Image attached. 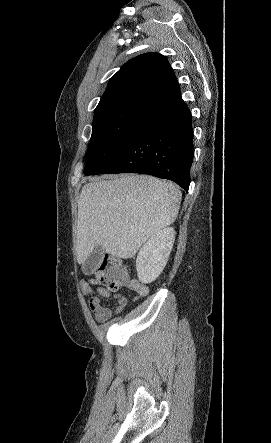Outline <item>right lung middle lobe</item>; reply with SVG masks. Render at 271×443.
Wrapping results in <instances>:
<instances>
[{"label":"right lung middle lobe","mask_w":271,"mask_h":443,"mask_svg":"<svg viewBox=\"0 0 271 443\" xmlns=\"http://www.w3.org/2000/svg\"><path fill=\"white\" fill-rule=\"evenodd\" d=\"M152 105L147 101L129 99L96 107L84 169L86 176L107 163L138 118Z\"/></svg>","instance_id":"right-lung-middle-lobe-1"}]
</instances>
